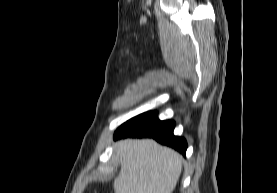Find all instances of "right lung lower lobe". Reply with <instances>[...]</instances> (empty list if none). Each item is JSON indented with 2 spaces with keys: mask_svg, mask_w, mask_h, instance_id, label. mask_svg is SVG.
Masks as SVG:
<instances>
[{
  "mask_svg": "<svg viewBox=\"0 0 277 193\" xmlns=\"http://www.w3.org/2000/svg\"><path fill=\"white\" fill-rule=\"evenodd\" d=\"M174 126V121H160L156 112H147L122 124L116 130L114 138L152 137L161 144L173 147L185 155L187 142L184 138L173 135Z\"/></svg>",
  "mask_w": 277,
  "mask_h": 193,
  "instance_id": "right-lung-lower-lobe-1",
  "label": "right lung lower lobe"
}]
</instances>
